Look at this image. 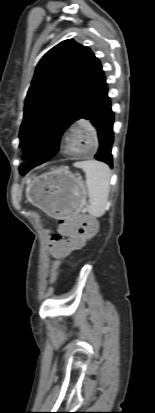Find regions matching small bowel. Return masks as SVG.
I'll return each instance as SVG.
<instances>
[{"label": "small bowel", "mask_w": 155, "mask_h": 413, "mask_svg": "<svg viewBox=\"0 0 155 413\" xmlns=\"http://www.w3.org/2000/svg\"><path fill=\"white\" fill-rule=\"evenodd\" d=\"M62 230H63L65 233L71 235V233H70L69 231H67L63 226H62Z\"/></svg>", "instance_id": "obj_1"}]
</instances>
